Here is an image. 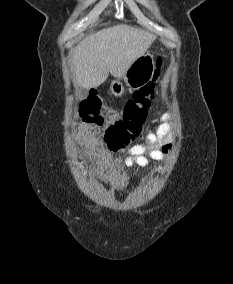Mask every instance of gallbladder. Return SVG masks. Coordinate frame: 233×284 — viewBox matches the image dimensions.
<instances>
[{"instance_id": "1", "label": "gallbladder", "mask_w": 233, "mask_h": 284, "mask_svg": "<svg viewBox=\"0 0 233 284\" xmlns=\"http://www.w3.org/2000/svg\"><path fill=\"white\" fill-rule=\"evenodd\" d=\"M86 96H87V91H86V90H82V91L79 93V98H80V99H84Z\"/></svg>"}]
</instances>
